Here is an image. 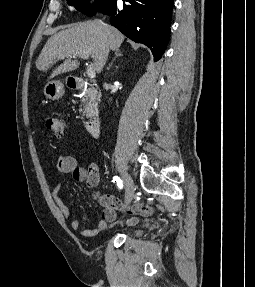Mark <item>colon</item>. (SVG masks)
<instances>
[{"label": "colon", "mask_w": 255, "mask_h": 287, "mask_svg": "<svg viewBox=\"0 0 255 287\" xmlns=\"http://www.w3.org/2000/svg\"><path fill=\"white\" fill-rule=\"evenodd\" d=\"M46 127L51 131L56 137H61L64 132L65 124L63 120L57 117H49L46 120Z\"/></svg>", "instance_id": "colon-1"}]
</instances>
